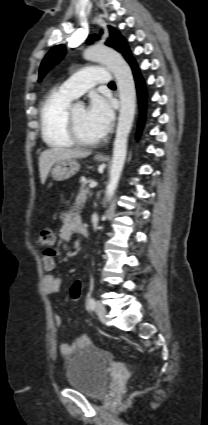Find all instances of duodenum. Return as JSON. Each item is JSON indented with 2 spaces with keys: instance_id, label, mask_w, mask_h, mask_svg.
I'll list each match as a JSON object with an SVG mask.
<instances>
[{
  "instance_id": "1",
  "label": "duodenum",
  "mask_w": 208,
  "mask_h": 425,
  "mask_svg": "<svg viewBox=\"0 0 208 425\" xmlns=\"http://www.w3.org/2000/svg\"><path fill=\"white\" fill-rule=\"evenodd\" d=\"M80 233L83 235V236H87L88 235V229H87V227L85 226V225H81V227H80Z\"/></svg>"
}]
</instances>
